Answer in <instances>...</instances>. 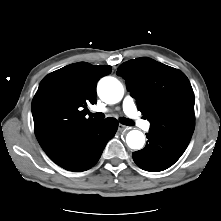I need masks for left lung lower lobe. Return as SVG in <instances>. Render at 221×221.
<instances>
[{
    "mask_svg": "<svg viewBox=\"0 0 221 221\" xmlns=\"http://www.w3.org/2000/svg\"><path fill=\"white\" fill-rule=\"evenodd\" d=\"M148 143L133 153L135 163L146 171L159 172L172 166L183 154L185 147L161 135L146 133Z\"/></svg>",
    "mask_w": 221,
    "mask_h": 221,
    "instance_id": "obj_1",
    "label": "left lung lower lobe"
}]
</instances>
